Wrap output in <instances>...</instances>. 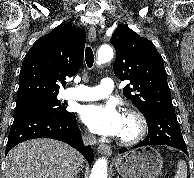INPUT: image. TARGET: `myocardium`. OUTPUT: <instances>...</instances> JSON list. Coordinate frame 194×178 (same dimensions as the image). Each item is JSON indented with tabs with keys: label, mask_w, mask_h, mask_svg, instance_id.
Masks as SVG:
<instances>
[{
	"label": "myocardium",
	"mask_w": 194,
	"mask_h": 178,
	"mask_svg": "<svg viewBox=\"0 0 194 178\" xmlns=\"http://www.w3.org/2000/svg\"><path fill=\"white\" fill-rule=\"evenodd\" d=\"M123 116L131 118L136 123V131L130 137H118V143L123 146H132L142 141L148 131V124L144 115L138 110L126 109Z\"/></svg>",
	"instance_id": "obj_1"
}]
</instances>
